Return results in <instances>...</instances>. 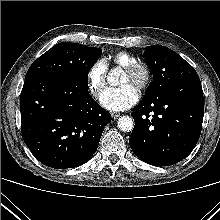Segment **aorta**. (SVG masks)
I'll list each match as a JSON object with an SVG mask.
<instances>
[{"label":"aorta","mask_w":220,"mask_h":220,"mask_svg":"<svg viewBox=\"0 0 220 220\" xmlns=\"http://www.w3.org/2000/svg\"><path fill=\"white\" fill-rule=\"evenodd\" d=\"M120 73L121 70L118 68L111 70L107 76L108 83L112 86L117 85L119 82ZM117 126L123 132H130L134 128V120L129 116H122L119 118Z\"/></svg>","instance_id":"aorta-1"}]
</instances>
